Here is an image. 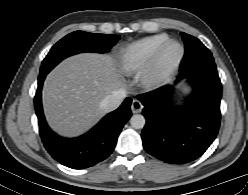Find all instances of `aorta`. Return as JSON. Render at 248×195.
I'll return each instance as SVG.
<instances>
[{
    "instance_id": "aorta-1",
    "label": "aorta",
    "mask_w": 248,
    "mask_h": 195,
    "mask_svg": "<svg viewBox=\"0 0 248 195\" xmlns=\"http://www.w3.org/2000/svg\"><path fill=\"white\" fill-rule=\"evenodd\" d=\"M130 124L135 129H142L145 125V118L141 114H135L131 117Z\"/></svg>"
}]
</instances>
